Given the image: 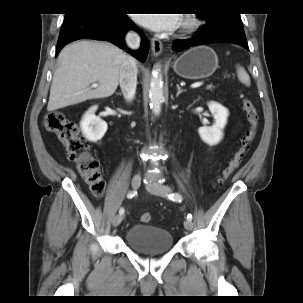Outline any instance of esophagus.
<instances>
[{
    "mask_svg": "<svg viewBox=\"0 0 303 303\" xmlns=\"http://www.w3.org/2000/svg\"><path fill=\"white\" fill-rule=\"evenodd\" d=\"M162 48V42L159 39L151 38V50L154 57H158L161 54Z\"/></svg>",
    "mask_w": 303,
    "mask_h": 303,
    "instance_id": "esophagus-1",
    "label": "esophagus"
}]
</instances>
